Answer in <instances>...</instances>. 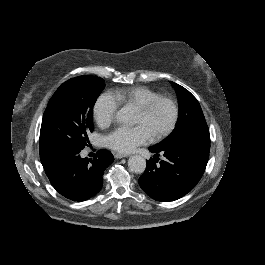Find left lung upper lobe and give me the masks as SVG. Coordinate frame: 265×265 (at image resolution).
<instances>
[{
    "instance_id": "obj_1",
    "label": "left lung upper lobe",
    "mask_w": 265,
    "mask_h": 265,
    "mask_svg": "<svg viewBox=\"0 0 265 265\" xmlns=\"http://www.w3.org/2000/svg\"><path fill=\"white\" fill-rule=\"evenodd\" d=\"M179 103V117L174 131L162 142L152 146L163 149L189 139L210 140L209 129L199 102L184 87L171 82Z\"/></svg>"
}]
</instances>
